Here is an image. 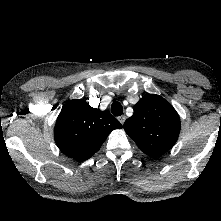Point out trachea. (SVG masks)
<instances>
[{
  "label": "trachea",
  "mask_w": 221,
  "mask_h": 221,
  "mask_svg": "<svg viewBox=\"0 0 221 221\" xmlns=\"http://www.w3.org/2000/svg\"><path fill=\"white\" fill-rule=\"evenodd\" d=\"M111 112L114 116L122 115L123 114L122 105L117 101L113 102L112 105H111Z\"/></svg>",
  "instance_id": "obj_1"
}]
</instances>
